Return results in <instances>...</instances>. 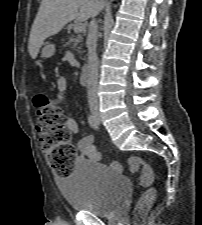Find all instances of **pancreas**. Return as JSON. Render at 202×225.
Segmentation results:
<instances>
[{
	"label": "pancreas",
	"mask_w": 202,
	"mask_h": 225,
	"mask_svg": "<svg viewBox=\"0 0 202 225\" xmlns=\"http://www.w3.org/2000/svg\"><path fill=\"white\" fill-rule=\"evenodd\" d=\"M81 41H82L81 35L72 36L69 37L65 46L71 47L72 50L80 51L81 47L78 45L81 43Z\"/></svg>",
	"instance_id": "obj_1"
}]
</instances>
